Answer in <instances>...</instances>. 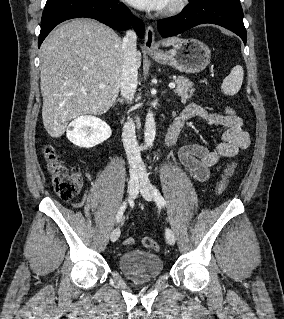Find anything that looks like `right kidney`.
<instances>
[{
  "label": "right kidney",
  "instance_id": "right-kidney-1",
  "mask_svg": "<svg viewBox=\"0 0 284 319\" xmlns=\"http://www.w3.org/2000/svg\"><path fill=\"white\" fill-rule=\"evenodd\" d=\"M111 136V128L103 120L92 115L75 118L67 129V138L74 145L92 148L103 143Z\"/></svg>",
  "mask_w": 284,
  "mask_h": 319
}]
</instances>
